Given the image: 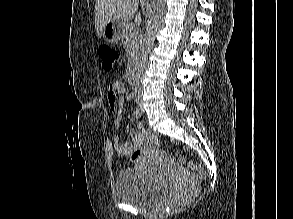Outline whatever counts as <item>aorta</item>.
Here are the masks:
<instances>
[{
	"instance_id": "aorta-1",
	"label": "aorta",
	"mask_w": 293,
	"mask_h": 219,
	"mask_svg": "<svg viewBox=\"0 0 293 219\" xmlns=\"http://www.w3.org/2000/svg\"><path fill=\"white\" fill-rule=\"evenodd\" d=\"M164 12L165 0H152L151 14L148 19L146 33L141 45L139 59L135 68V82L137 85L141 83V76L148 61V57L155 40L156 31L161 24Z\"/></svg>"
}]
</instances>
